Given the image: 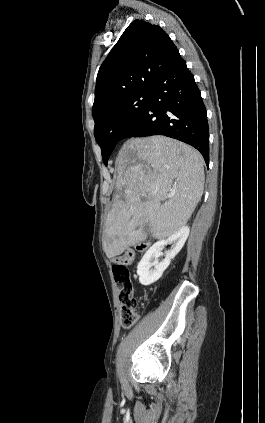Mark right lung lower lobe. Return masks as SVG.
<instances>
[{"label": "right lung lower lobe", "mask_w": 265, "mask_h": 423, "mask_svg": "<svg viewBox=\"0 0 265 423\" xmlns=\"http://www.w3.org/2000/svg\"><path fill=\"white\" fill-rule=\"evenodd\" d=\"M151 99L125 130L128 137L165 135L185 142L209 164V129L201 93L180 54L170 61L150 89Z\"/></svg>", "instance_id": "right-lung-lower-lobe-1"}]
</instances>
